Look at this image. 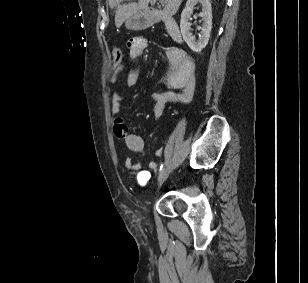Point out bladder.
Masks as SVG:
<instances>
[{
	"label": "bladder",
	"instance_id": "1",
	"mask_svg": "<svg viewBox=\"0 0 308 283\" xmlns=\"http://www.w3.org/2000/svg\"><path fill=\"white\" fill-rule=\"evenodd\" d=\"M139 181L144 184L147 185L149 183V173L147 172H141L139 174Z\"/></svg>",
	"mask_w": 308,
	"mask_h": 283
}]
</instances>
